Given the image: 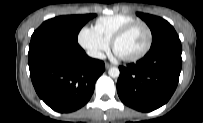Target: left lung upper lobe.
<instances>
[{
    "label": "left lung upper lobe",
    "instance_id": "1",
    "mask_svg": "<svg viewBox=\"0 0 203 123\" xmlns=\"http://www.w3.org/2000/svg\"><path fill=\"white\" fill-rule=\"evenodd\" d=\"M137 15L146 22L151 30V48L159 46L172 39H179L173 26L163 18L144 13H137Z\"/></svg>",
    "mask_w": 203,
    "mask_h": 123
}]
</instances>
